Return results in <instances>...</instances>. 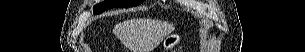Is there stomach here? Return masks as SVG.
Returning <instances> with one entry per match:
<instances>
[{"label":"stomach","mask_w":305,"mask_h":52,"mask_svg":"<svg viewBox=\"0 0 305 52\" xmlns=\"http://www.w3.org/2000/svg\"><path fill=\"white\" fill-rule=\"evenodd\" d=\"M181 41V35L177 32L170 33L161 42L163 52H168L177 46Z\"/></svg>","instance_id":"1"}]
</instances>
